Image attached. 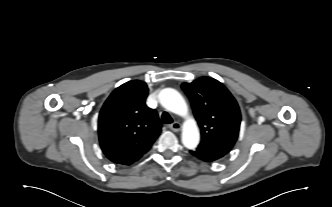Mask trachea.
<instances>
[{"label": "trachea", "instance_id": "3493384b", "mask_svg": "<svg viewBox=\"0 0 332 207\" xmlns=\"http://www.w3.org/2000/svg\"><path fill=\"white\" fill-rule=\"evenodd\" d=\"M161 120L164 124H170V123L173 122L172 117L167 112L162 113V119Z\"/></svg>", "mask_w": 332, "mask_h": 207}]
</instances>
